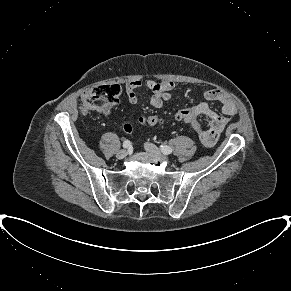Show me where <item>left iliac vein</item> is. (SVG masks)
Listing matches in <instances>:
<instances>
[{
	"label": "left iliac vein",
	"mask_w": 291,
	"mask_h": 291,
	"mask_svg": "<svg viewBox=\"0 0 291 291\" xmlns=\"http://www.w3.org/2000/svg\"><path fill=\"white\" fill-rule=\"evenodd\" d=\"M144 147H145V150L152 155H156V156L162 155L160 149L152 143H145Z\"/></svg>",
	"instance_id": "left-iliac-vein-1"
}]
</instances>
